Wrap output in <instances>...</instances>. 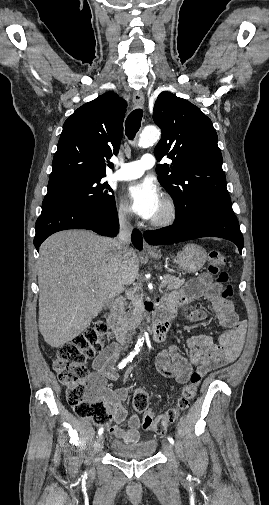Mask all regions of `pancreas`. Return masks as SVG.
Masks as SVG:
<instances>
[{
  "label": "pancreas",
  "instance_id": "pancreas-1",
  "mask_svg": "<svg viewBox=\"0 0 269 505\" xmlns=\"http://www.w3.org/2000/svg\"><path fill=\"white\" fill-rule=\"evenodd\" d=\"M163 283L164 286L167 288V290H176L179 289L185 283V279L184 278L180 279L171 275H164ZM130 297L132 300L130 305L131 312L127 314L126 319L136 323L140 321L144 311L142 297L138 294H131Z\"/></svg>",
  "mask_w": 269,
  "mask_h": 505
}]
</instances>
